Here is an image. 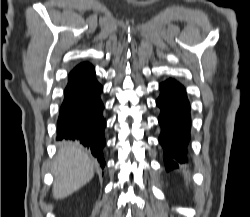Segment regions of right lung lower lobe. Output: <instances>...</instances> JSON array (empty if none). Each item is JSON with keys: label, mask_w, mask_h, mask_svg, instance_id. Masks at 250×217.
<instances>
[{"label": "right lung lower lobe", "mask_w": 250, "mask_h": 217, "mask_svg": "<svg viewBox=\"0 0 250 217\" xmlns=\"http://www.w3.org/2000/svg\"><path fill=\"white\" fill-rule=\"evenodd\" d=\"M102 91L103 87L95 78V69L89 63H81L70 72L57 121V139L80 142L104 168L106 120L100 98Z\"/></svg>", "instance_id": "obj_1"}]
</instances>
